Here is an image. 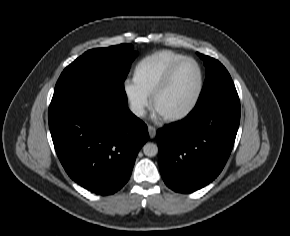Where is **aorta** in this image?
Returning <instances> with one entry per match:
<instances>
[{
  "label": "aorta",
  "mask_w": 290,
  "mask_h": 236,
  "mask_svg": "<svg viewBox=\"0 0 290 236\" xmlns=\"http://www.w3.org/2000/svg\"><path fill=\"white\" fill-rule=\"evenodd\" d=\"M143 152L148 157H154L158 154V146L154 143H146L143 146Z\"/></svg>",
  "instance_id": "762f6f07"
}]
</instances>
